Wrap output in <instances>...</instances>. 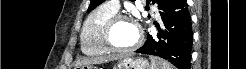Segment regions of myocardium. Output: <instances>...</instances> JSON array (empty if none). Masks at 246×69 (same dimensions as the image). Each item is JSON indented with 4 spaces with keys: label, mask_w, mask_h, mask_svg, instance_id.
I'll list each match as a JSON object with an SVG mask.
<instances>
[{
    "label": "myocardium",
    "mask_w": 246,
    "mask_h": 69,
    "mask_svg": "<svg viewBox=\"0 0 246 69\" xmlns=\"http://www.w3.org/2000/svg\"><path fill=\"white\" fill-rule=\"evenodd\" d=\"M131 21L135 24L136 28H137V40L136 42L127 48H118L116 46L113 45V43L111 42V36H112V32L115 28V26L121 22V21ZM143 31L141 29L140 24L131 16L127 15V14H121V13H117L114 16H112L106 23L105 28H104V32H103V40H104V44L106 45V47L113 53H124V52H130V51H134L137 48H139L143 42Z\"/></svg>",
    "instance_id": "f54148a6"
}]
</instances>
